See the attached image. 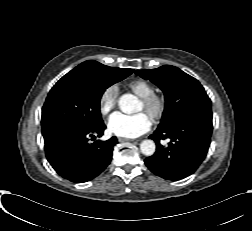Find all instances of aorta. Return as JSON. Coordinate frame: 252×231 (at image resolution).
<instances>
[{
	"instance_id": "1",
	"label": "aorta",
	"mask_w": 252,
	"mask_h": 231,
	"mask_svg": "<svg viewBox=\"0 0 252 231\" xmlns=\"http://www.w3.org/2000/svg\"><path fill=\"white\" fill-rule=\"evenodd\" d=\"M119 108L123 113L131 114L136 111L138 103L137 97L132 94H124L119 99ZM156 145L153 140H143L140 144L141 152L146 156H152L155 153Z\"/></svg>"
}]
</instances>
